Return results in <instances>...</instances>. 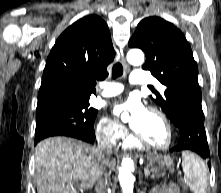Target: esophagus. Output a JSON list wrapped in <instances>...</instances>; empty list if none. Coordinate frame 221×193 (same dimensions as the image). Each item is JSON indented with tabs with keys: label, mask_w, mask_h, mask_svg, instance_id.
Returning <instances> with one entry per match:
<instances>
[{
	"label": "esophagus",
	"mask_w": 221,
	"mask_h": 193,
	"mask_svg": "<svg viewBox=\"0 0 221 193\" xmlns=\"http://www.w3.org/2000/svg\"><path fill=\"white\" fill-rule=\"evenodd\" d=\"M120 61H121V63L123 64V66H124L125 68H128V63H127V61H126V59H125V57H124L123 54H122L121 57H120Z\"/></svg>",
	"instance_id": "34e87169"
}]
</instances>
